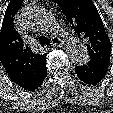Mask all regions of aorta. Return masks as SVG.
<instances>
[{"instance_id":"1","label":"aorta","mask_w":113,"mask_h":113,"mask_svg":"<svg viewBox=\"0 0 113 113\" xmlns=\"http://www.w3.org/2000/svg\"><path fill=\"white\" fill-rule=\"evenodd\" d=\"M40 14L44 20H46L45 22L48 26L53 27L54 18L48 12L43 10H40ZM66 50L72 63L76 65H85L88 63L89 53L87 47L76 36H70Z\"/></svg>"}]
</instances>
